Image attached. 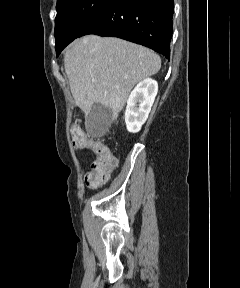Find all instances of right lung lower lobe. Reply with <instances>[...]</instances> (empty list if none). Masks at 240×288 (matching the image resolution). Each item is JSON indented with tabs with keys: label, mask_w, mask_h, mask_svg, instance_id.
<instances>
[{
	"label": "right lung lower lobe",
	"mask_w": 240,
	"mask_h": 288,
	"mask_svg": "<svg viewBox=\"0 0 240 288\" xmlns=\"http://www.w3.org/2000/svg\"><path fill=\"white\" fill-rule=\"evenodd\" d=\"M173 0H113L81 32L113 36L170 56Z\"/></svg>",
	"instance_id": "98d812e1"
}]
</instances>
